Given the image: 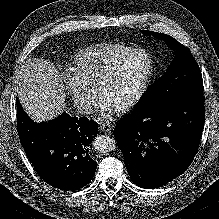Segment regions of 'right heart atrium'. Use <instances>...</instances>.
Returning <instances> with one entry per match:
<instances>
[{"mask_svg":"<svg viewBox=\"0 0 219 219\" xmlns=\"http://www.w3.org/2000/svg\"><path fill=\"white\" fill-rule=\"evenodd\" d=\"M66 91L72 97L75 107L82 114L92 111L96 103V90L83 82L75 73L63 80Z\"/></svg>","mask_w":219,"mask_h":219,"instance_id":"right-heart-atrium-1","label":"right heart atrium"}]
</instances>
